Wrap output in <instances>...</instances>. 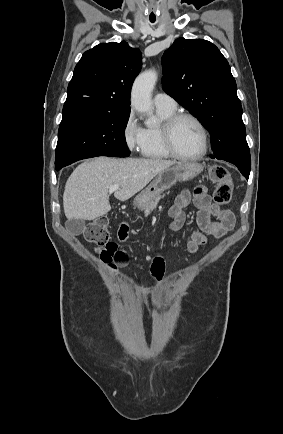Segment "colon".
Here are the masks:
<instances>
[{
  "instance_id": "5ec220e1",
  "label": "colon",
  "mask_w": 283,
  "mask_h": 434,
  "mask_svg": "<svg viewBox=\"0 0 283 434\" xmlns=\"http://www.w3.org/2000/svg\"><path fill=\"white\" fill-rule=\"evenodd\" d=\"M209 177L216 186L213 193L215 204L218 206L229 204L233 194V183L228 169L222 165H213L209 170ZM108 227V218L102 216L91 222L84 234L86 240L93 244L100 253H102L110 243Z\"/></svg>"
}]
</instances>
